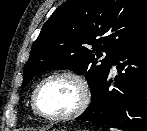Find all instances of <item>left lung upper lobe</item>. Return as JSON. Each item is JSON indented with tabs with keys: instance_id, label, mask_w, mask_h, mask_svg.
<instances>
[{
	"instance_id": "5c2ea615",
	"label": "left lung upper lobe",
	"mask_w": 147,
	"mask_h": 131,
	"mask_svg": "<svg viewBox=\"0 0 147 131\" xmlns=\"http://www.w3.org/2000/svg\"><path fill=\"white\" fill-rule=\"evenodd\" d=\"M146 32L147 0H68L32 45L22 87L40 72L70 69L85 75L93 98L120 50Z\"/></svg>"
}]
</instances>
